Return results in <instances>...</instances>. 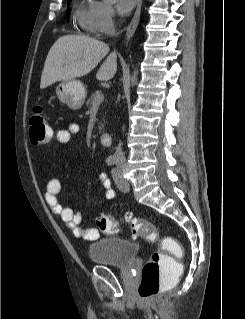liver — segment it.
I'll return each mask as SVG.
<instances>
[{"label":"liver","instance_id":"6515ba94","mask_svg":"<svg viewBox=\"0 0 245 319\" xmlns=\"http://www.w3.org/2000/svg\"><path fill=\"white\" fill-rule=\"evenodd\" d=\"M109 53L106 43L84 35H64L51 47L45 60L40 88L58 81H69L90 73ZM117 71L115 52L108 55L96 78L107 81Z\"/></svg>","mask_w":245,"mask_h":319}]
</instances>
